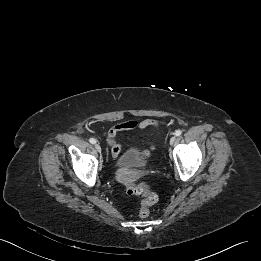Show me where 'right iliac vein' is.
Masks as SVG:
<instances>
[{"instance_id": "63e3f726", "label": "right iliac vein", "mask_w": 261, "mask_h": 261, "mask_svg": "<svg viewBox=\"0 0 261 261\" xmlns=\"http://www.w3.org/2000/svg\"><path fill=\"white\" fill-rule=\"evenodd\" d=\"M95 148L99 153H101V146L98 143L95 144Z\"/></svg>"}]
</instances>
